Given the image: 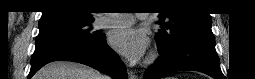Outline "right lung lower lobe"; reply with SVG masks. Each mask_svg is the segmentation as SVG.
<instances>
[{
  "mask_svg": "<svg viewBox=\"0 0 255 79\" xmlns=\"http://www.w3.org/2000/svg\"><path fill=\"white\" fill-rule=\"evenodd\" d=\"M57 60L82 63L110 74L114 79H127L125 65L107 45L104 34L92 41L51 38L36 42L28 79L45 64Z\"/></svg>",
  "mask_w": 255,
  "mask_h": 79,
  "instance_id": "98d812e1",
  "label": "right lung lower lobe"
}]
</instances>
